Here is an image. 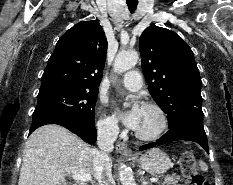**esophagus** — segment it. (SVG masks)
I'll return each mask as SVG.
<instances>
[{
    "label": "esophagus",
    "mask_w": 233,
    "mask_h": 185,
    "mask_svg": "<svg viewBox=\"0 0 233 185\" xmlns=\"http://www.w3.org/2000/svg\"><path fill=\"white\" fill-rule=\"evenodd\" d=\"M116 150L126 156L132 155L131 149L128 148V146L125 143L120 142V141L116 143Z\"/></svg>",
    "instance_id": "34e87169"
}]
</instances>
